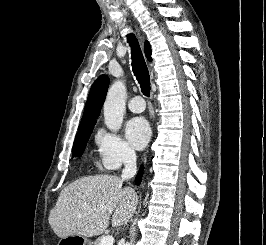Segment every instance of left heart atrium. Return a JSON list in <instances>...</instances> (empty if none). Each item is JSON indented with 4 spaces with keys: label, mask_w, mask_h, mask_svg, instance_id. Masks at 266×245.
<instances>
[{
    "label": "left heart atrium",
    "mask_w": 266,
    "mask_h": 245,
    "mask_svg": "<svg viewBox=\"0 0 266 245\" xmlns=\"http://www.w3.org/2000/svg\"><path fill=\"white\" fill-rule=\"evenodd\" d=\"M125 136L133 148H143L150 138V128L147 121L141 117L131 119L126 124Z\"/></svg>",
    "instance_id": "39dd6f15"
}]
</instances>
